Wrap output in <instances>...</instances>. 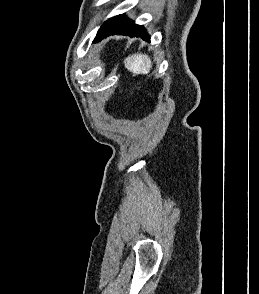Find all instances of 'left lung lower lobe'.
I'll use <instances>...</instances> for the list:
<instances>
[{"label":"left lung lower lobe","instance_id":"0a47b994","mask_svg":"<svg viewBox=\"0 0 259 294\" xmlns=\"http://www.w3.org/2000/svg\"><path fill=\"white\" fill-rule=\"evenodd\" d=\"M129 35L130 37H141L147 41L150 40V36L143 26L134 24V22L128 19L124 14L114 16L103 23L99 29L95 40H101L102 38L110 35Z\"/></svg>","mask_w":259,"mask_h":294}]
</instances>
